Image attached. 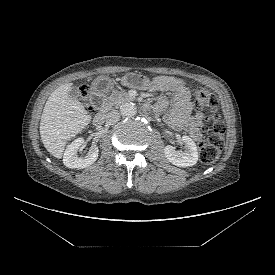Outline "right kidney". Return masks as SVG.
<instances>
[{"label": "right kidney", "instance_id": "obj_1", "mask_svg": "<svg viewBox=\"0 0 275 275\" xmlns=\"http://www.w3.org/2000/svg\"><path fill=\"white\" fill-rule=\"evenodd\" d=\"M83 143V138H77L67 146L63 156V163L66 167L83 169L92 165L97 160L98 148L91 150L90 154L85 158L77 156V151Z\"/></svg>", "mask_w": 275, "mask_h": 275}]
</instances>
